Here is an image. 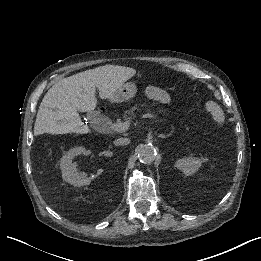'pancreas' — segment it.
Wrapping results in <instances>:
<instances>
[{"label": "pancreas", "instance_id": "cf45deb5", "mask_svg": "<svg viewBox=\"0 0 261 261\" xmlns=\"http://www.w3.org/2000/svg\"><path fill=\"white\" fill-rule=\"evenodd\" d=\"M145 109L146 106L144 104H138L136 107H124L123 112H120V117L121 119L129 122L134 117L133 113H135V111L140 112L144 111Z\"/></svg>", "mask_w": 261, "mask_h": 261}]
</instances>
